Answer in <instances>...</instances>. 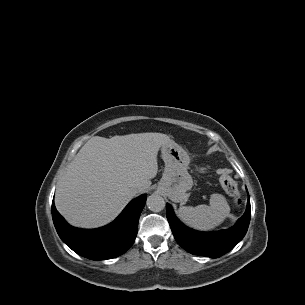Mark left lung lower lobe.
<instances>
[{"label":"left lung lower lobe","mask_w":305,"mask_h":305,"mask_svg":"<svg viewBox=\"0 0 305 305\" xmlns=\"http://www.w3.org/2000/svg\"><path fill=\"white\" fill-rule=\"evenodd\" d=\"M167 219L178 244L194 255L217 258L232 250L245 236L250 222V201L244 215L237 223L217 232H199L183 225L175 216L170 204H166Z\"/></svg>","instance_id":"0a47b994"}]
</instances>
